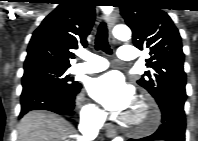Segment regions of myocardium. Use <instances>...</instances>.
Masks as SVG:
<instances>
[{"instance_id": "1", "label": "myocardium", "mask_w": 198, "mask_h": 141, "mask_svg": "<svg viewBox=\"0 0 198 141\" xmlns=\"http://www.w3.org/2000/svg\"><path fill=\"white\" fill-rule=\"evenodd\" d=\"M141 113V119H136L135 112ZM159 121V113L155 104L148 98H140L133 111L123 118L125 125L134 131H150L156 127Z\"/></svg>"}]
</instances>
